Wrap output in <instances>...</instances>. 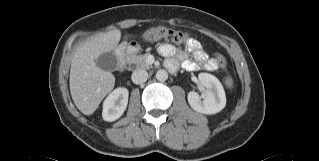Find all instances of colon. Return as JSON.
Wrapping results in <instances>:
<instances>
[{
	"label": "colon",
	"mask_w": 319,
	"mask_h": 161,
	"mask_svg": "<svg viewBox=\"0 0 319 161\" xmlns=\"http://www.w3.org/2000/svg\"><path fill=\"white\" fill-rule=\"evenodd\" d=\"M146 39L148 41H158V40H167L173 43H183L186 40V33L175 30V29H168L163 27H154L150 29L146 35ZM210 67L212 69H226V63L221 55L216 54L210 63Z\"/></svg>",
	"instance_id": "5ec220e1"
}]
</instances>
